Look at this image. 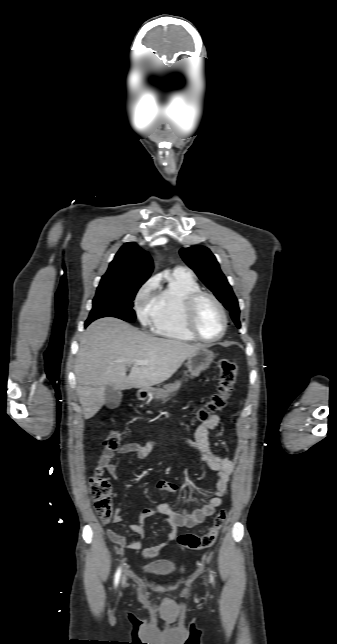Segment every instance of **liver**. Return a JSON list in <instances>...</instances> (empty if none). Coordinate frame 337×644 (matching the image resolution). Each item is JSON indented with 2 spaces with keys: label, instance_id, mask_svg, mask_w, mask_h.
<instances>
[{
  "label": "liver",
  "instance_id": "liver-1",
  "mask_svg": "<svg viewBox=\"0 0 337 644\" xmlns=\"http://www.w3.org/2000/svg\"><path fill=\"white\" fill-rule=\"evenodd\" d=\"M204 346L144 333L116 318H101L84 332L75 362L77 394L84 418L93 417L105 403V390L149 389L169 379ZM136 360H147L138 365ZM131 365L129 375L126 366Z\"/></svg>",
  "mask_w": 337,
  "mask_h": 644
}]
</instances>
